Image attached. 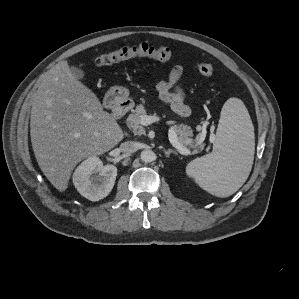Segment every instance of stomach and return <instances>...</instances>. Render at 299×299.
Wrapping results in <instances>:
<instances>
[{"label": "stomach", "mask_w": 299, "mask_h": 299, "mask_svg": "<svg viewBox=\"0 0 299 299\" xmlns=\"http://www.w3.org/2000/svg\"><path fill=\"white\" fill-rule=\"evenodd\" d=\"M108 95L114 100L115 105L123 104L129 100V91L123 87H113L109 90Z\"/></svg>", "instance_id": "1"}]
</instances>
